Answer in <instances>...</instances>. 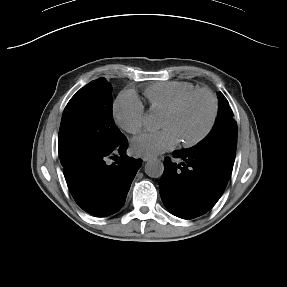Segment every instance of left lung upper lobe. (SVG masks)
<instances>
[{"mask_svg": "<svg viewBox=\"0 0 287 287\" xmlns=\"http://www.w3.org/2000/svg\"><path fill=\"white\" fill-rule=\"evenodd\" d=\"M217 95L220 103L213 129L204 140L188 150L201 153L230 177L237 147V123L227 99L221 92Z\"/></svg>", "mask_w": 287, "mask_h": 287, "instance_id": "1", "label": "left lung upper lobe"}]
</instances>
